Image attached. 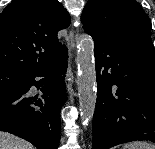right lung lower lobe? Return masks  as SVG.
Returning a JSON list of instances; mask_svg holds the SVG:
<instances>
[{
  "label": "right lung lower lobe",
  "mask_w": 155,
  "mask_h": 149,
  "mask_svg": "<svg viewBox=\"0 0 155 149\" xmlns=\"http://www.w3.org/2000/svg\"><path fill=\"white\" fill-rule=\"evenodd\" d=\"M67 59L66 52L50 66L28 74L22 90L0 92V131L17 135L38 149H57L60 109L66 99ZM35 77L42 79L36 81ZM33 85L42 87L41 98L29 94Z\"/></svg>",
  "instance_id": "1"
}]
</instances>
